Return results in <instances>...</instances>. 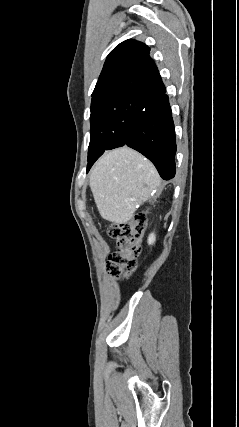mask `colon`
Segmentation results:
<instances>
[{
    "instance_id": "colon-1",
    "label": "colon",
    "mask_w": 239,
    "mask_h": 427,
    "mask_svg": "<svg viewBox=\"0 0 239 427\" xmlns=\"http://www.w3.org/2000/svg\"><path fill=\"white\" fill-rule=\"evenodd\" d=\"M146 221L145 214L138 213L127 222L111 224L108 227V234L115 240L117 249L106 264L108 274L127 278L134 271L136 258L140 253L139 241Z\"/></svg>"
}]
</instances>
